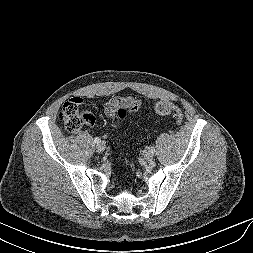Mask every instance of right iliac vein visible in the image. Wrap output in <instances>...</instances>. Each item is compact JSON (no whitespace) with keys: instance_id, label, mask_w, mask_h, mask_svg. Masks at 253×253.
Masks as SVG:
<instances>
[{"instance_id":"obj_1","label":"right iliac vein","mask_w":253,"mask_h":253,"mask_svg":"<svg viewBox=\"0 0 253 253\" xmlns=\"http://www.w3.org/2000/svg\"><path fill=\"white\" fill-rule=\"evenodd\" d=\"M96 150L98 152H103L105 150V143L102 142V143L97 144L96 145Z\"/></svg>"}]
</instances>
